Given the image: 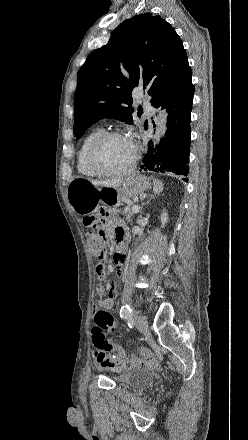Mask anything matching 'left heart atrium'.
Segmentation results:
<instances>
[{
    "label": "left heart atrium",
    "instance_id": "left-heart-atrium-1",
    "mask_svg": "<svg viewBox=\"0 0 248 440\" xmlns=\"http://www.w3.org/2000/svg\"><path fill=\"white\" fill-rule=\"evenodd\" d=\"M128 141H129V143H130L132 149L134 150V144H133V142H132L130 139H128Z\"/></svg>",
    "mask_w": 248,
    "mask_h": 440
}]
</instances>
